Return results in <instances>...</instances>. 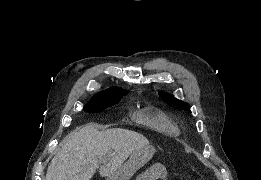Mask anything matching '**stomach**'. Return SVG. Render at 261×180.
I'll list each match as a JSON object with an SVG mask.
<instances>
[{"label": "stomach", "instance_id": "1", "mask_svg": "<svg viewBox=\"0 0 261 180\" xmlns=\"http://www.w3.org/2000/svg\"><path fill=\"white\" fill-rule=\"evenodd\" d=\"M155 152L156 149L150 145L137 149L127 162L108 175L105 180H129L137 170L150 161Z\"/></svg>", "mask_w": 261, "mask_h": 180}]
</instances>
